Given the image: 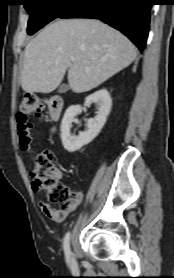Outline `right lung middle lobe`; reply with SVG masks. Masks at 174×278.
<instances>
[{"label": "right lung middle lobe", "instance_id": "obj_1", "mask_svg": "<svg viewBox=\"0 0 174 278\" xmlns=\"http://www.w3.org/2000/svg\"><path fill=\"white\" fill-rule=\"evenodd\" d=\"M30 14L27 33L32 35L50 21L58 18L78 0H24Z\"/></svg>", "mask_w": 174, "mask_h": 278}]
</instances>
